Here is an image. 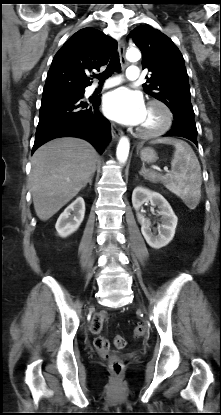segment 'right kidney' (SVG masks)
<instances>
[{"mask_svg": "<svg viewBox=\"0 0 221 415\" xmlns=\"http://www.w3.org/2000/svg\"><path fill=\"white\" fill-rule=\"evenodd\" d=\"M85 214V202L78 197L59 216L55 228L61 237L74 233L81 225Z\"/></svg>", "mask_w": 221, "mask_h": 415, "instance_id": "ca27d5eb", "label": "right kidney"}]
</instances>
